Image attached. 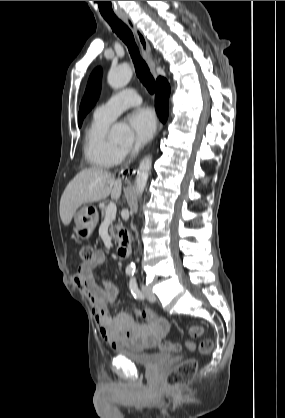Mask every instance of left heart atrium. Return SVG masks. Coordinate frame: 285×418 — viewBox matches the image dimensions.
<instances>
[{
	"mask_svg": "<svg viewBox=\"0 0 285 418\" xmlns=\"http://www.w3.org/2000/svg\"><path fill=\"white\" fill-rule=\"evenodd\" d=\"M128 123L139 143H145L153 136L157 119L154 111L148 107L133 110L128 116Z\"/></svg>",
	"mask_w": 285,
	"mask_h": 418,
	"instance_id": "1",
	"label": "left heart atrium"
}]
</instances>
